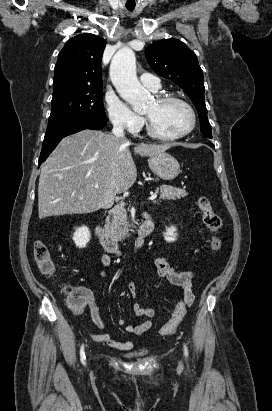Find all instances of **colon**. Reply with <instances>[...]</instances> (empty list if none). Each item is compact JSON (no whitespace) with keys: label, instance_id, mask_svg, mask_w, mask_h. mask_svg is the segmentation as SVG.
Wrapping results in <instances>:
<instances>
[{"label":"colon","instance_id":"5ec220e1","mask_svg":"<svg viewBox=\"0 0 272 411\" xmlns=\"http://www.w3.org/2000/svg\"><path fill=\"white\" fill-rule=\"evenodd\" d=\"M198 208L202 214L203 221L211 232L210 248L212 251H218L221 248L220 231L222 228V219L214 211L207 197H199L197 200ZM34 259L39 271L45 276H54L56 267L51 257L47 245L42 241H37L34 245ZM63 291L67 294L71 308L75 312H80L89 301L88 294L78 288L71 286H63ZM191 305V298L184 297L180 300L172 314L171 319L164 324L160 329L161 335H169L173 333L182 319L184 318L187 308Z\"/></svg>","mask_w":272,"mask_h":411}]
</instances>
